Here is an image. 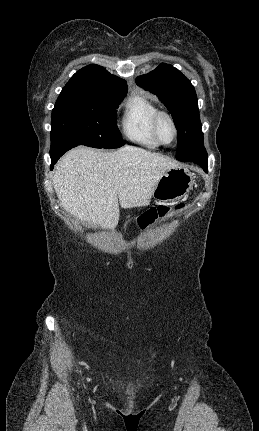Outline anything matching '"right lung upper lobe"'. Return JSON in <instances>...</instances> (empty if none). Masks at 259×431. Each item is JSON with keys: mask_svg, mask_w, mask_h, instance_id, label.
Wrapping results in <instances>:
<instances>
[{"mask_svg": "<svg viewBox=\"0 0 259 431\" xmlns=\"http://www.w3.org/2000/svg\"><path fill=\"white\" fill-rule=\"evenodd\" d=\"M125 80L110 74L99 65L90 64L77 71L60 94L99 96L114 92H127Z\"/></svg>", "mask_w": 259, "mask_h": 431, "instance_id": "right-lung-upper-lobe-1", "label": "right lung upper lobe"}]
</instances>
